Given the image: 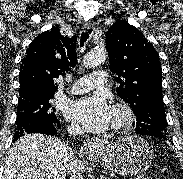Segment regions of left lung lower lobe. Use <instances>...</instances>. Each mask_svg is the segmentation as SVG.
I'll use <instances>...</instances> for the list:
<instances>
[{
    "label": "left lung lower lobe",
    "mask_w": 183,
    "mask_h": 179,
    "mask_svg": "<svg viewBox=\"0 0 183 179\" xmlns=\"http://www.w3.org/2000/svg\"><path fill=\"white\" fill-rule=\"evenodd\" d=\"M162 139H165L167 141H170L169 137H163Z\"/></svg>",
    "instance_id": "left-lung-lower-lobe-1"
}]
</instances>
